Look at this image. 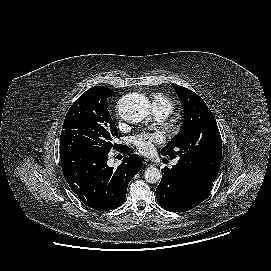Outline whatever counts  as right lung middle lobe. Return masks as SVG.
<instances>
[{"label": "right lung middle lobe", "mask_w": 271, "mask_h": 271, "mask_svg": "<svg viewBox=\"0 0 271 271\" xmlns=\"http://www.w3.org/2000/svg\"><path fill=\"white\" fill-rule=\"evenodd\" d=\"M115 93L107 87L95 86L83 93L70 107L60 137L65 145L110 152L119 147L114 143L118 136L107 109V100Z\"/></svg>", "instance_id": "obj_1"}]
</instances>
